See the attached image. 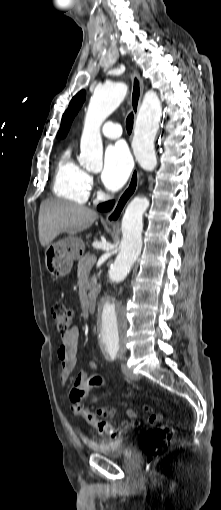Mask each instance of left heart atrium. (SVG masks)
I'll return each instance as SVG.
<instances>
[{"label":"left heart atrium","instance_id":"39dd6f15","mask_svg":"<svg viewBox=\"0 0 221 510\" xmlns=\"http://www.w3.org/2000/svg\"><path fill=\"white\" fill-rule=\"evenodd\" d=\"M132 169V158L127 147L122 143L110 145L104 155L101 180L104 186L117 191L127 181Z\"/></svg>","mask_w":221,"mask_h":510}]
</instances>
